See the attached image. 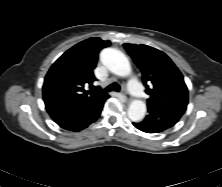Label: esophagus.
Segmentation results:
<instances>
[{
	"instance_id": "obj_1",
	"label": "esophagus",
	"mask_w": 222,
	"mask_h": 187,
	"mask_svg": "<svg viewBox=\"0 0 222 187\" xmlns=\"http://www.w3.org/2000/svg\"><path fill=\"white\" fill-rule=\"evenodd\" d=\"M122 99L125 101V102H130L131 101V98H129L127 95L123 94L122 96Z\"/></svg>"
}]
</instances>
